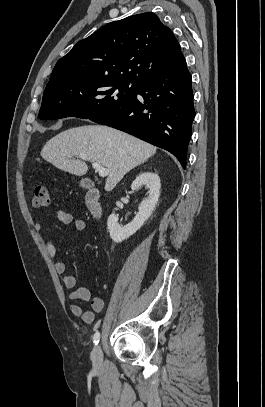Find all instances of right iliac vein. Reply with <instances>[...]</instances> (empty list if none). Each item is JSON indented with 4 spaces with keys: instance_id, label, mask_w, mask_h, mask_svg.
I'll list each match as a JSON object with an SVG mask.
<instances>
[{
    "instance_id": "right-iliac-vein-1",
    "label": "right iliac vein",
    "mask_w": 265,
    "mask_h": 407,
    "mask_svg": "<svg viewBox=\"0 0 265 407\" xmlns=\"http://www.w3.org/2000/svg\"><path fill=\"white\" fill-rule=\"evenodd\" d=\"M92 361L95 365H99L102 361V349L100 345H97L91 354Z\"/></svg>"
}]
</instances>
